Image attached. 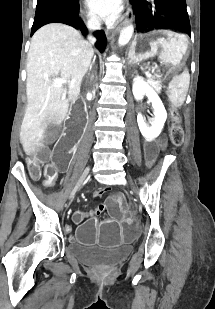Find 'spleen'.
Masks as SVG:
<instances>
[{
	"label": "spleen",
	"instance_id": "1",
	"mask_svg": "<svg viewBox=\"0 0 215 309\" xmlns=\"http://www.w3.org/2000/svg\"><path fill=\"white\" fill-rule=\"evenodd\" d=\"M187 76H189V74L184 70L180 76H175V78L169 82L167 92L173 106H182L185 100L186 92H184V86H188L189 84V78H187Z\"/></svg>",
	"mask_w": 215,
	"mask_h": 309
}]
</instances>
